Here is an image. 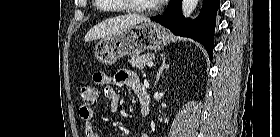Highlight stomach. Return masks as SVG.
Wrapping results in <instances>:
<instances>
[{
	"mask_svg": "<svg viewBox=\"0 0 280 137\" xmlns=\"http://www.w3.org/2000/svg\"><path fill=\"white\" fill-rule=\"evenodd\" d=\"M169 42L170 35L163 27L152 22L143 23L103 38L95 47V56L100 63L112 65L125 55L158 51Z\"/></svg>",
	"mask_w": 280,
	"mask_h": 137,
	"instance_id": "0dacf381",
	"label": "stomach"
}]
</instances>
